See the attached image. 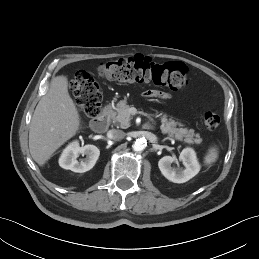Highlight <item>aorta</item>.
I'll return each mask as SVG.
<instances>
[{
	"instance_id": "obj_1",
	"label": "aorta",
	"mask_w": 259,
	"mask_h": 259,
	"mask_svg": "<svg viewBox=\"0 0 259 259\" xmlns=\"http://www.w3.org/2000/svg\"><path fill=\"white\" fill-rule=\"evenodd\" d=\"M147 146V141L145 138H139L135 141V143L133 144V150L134 151H142L145 149V147Z\"/></svg>"
}]
</instances>
